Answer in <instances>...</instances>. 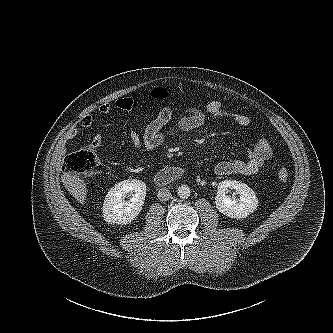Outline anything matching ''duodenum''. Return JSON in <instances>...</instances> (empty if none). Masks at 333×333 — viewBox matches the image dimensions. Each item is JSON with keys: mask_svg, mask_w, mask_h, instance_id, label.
I'll return each instance as SVG.
<instances>
[{"mask_svg": "<svg viewBox=\"0 0 333 333\" xmlns=\"http://www.w3.org/2000/svg\"><path fill=\"white\" fill-rule=\"evenodd\" d=\"M185 175V169L182 167L172 166L158 171L153 180L159 186L168 185Z\"/></svg>", "mask_w": 333, "mask_h": 333, "instance_id": "obj_1", "label": "duodenum"}]
</instances>
